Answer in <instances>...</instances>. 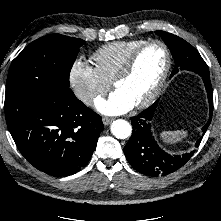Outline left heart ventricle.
<instances>
[{
    "label": "left heart ventricle",
    "instance_id": "left-heart-ventricle-1",
    "mask_svg": "<svg viewBox=\"0 0 221 221\" xmlns=\"http://www.w3.org/2000/svg\"><path fill=\"white\" fill-rule=\"evenodd\" d=\"M165 52L159 45L147 47L139 55L132 73L117 84L134 104L144 100L156 87L165 67Z\"/></svg>",
    "mask_w": 221,
    "mask_h": 221
}]
</instances>
